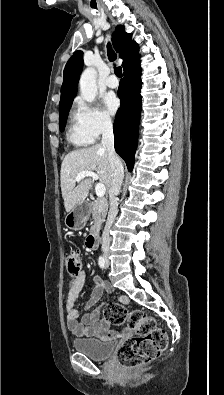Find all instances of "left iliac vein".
I'll return each mask as SVG.
<instances>
[{"instance_id":"left-iliac-vein-1","label":"left iliac vein","mask_w":224,"mask_h":395,"mask_svg":"<svg viewBox=\"0 0 224 395\" xmlns=\"http://www.w3.org/2000/svg\"><path fill=\"white\" fill-rule=\"evenodd\" d=\"M106 266H107V267L109 266V261H108V259L106 260Z\"/></svg>"}]
</instances>
